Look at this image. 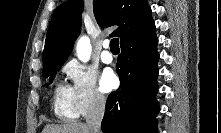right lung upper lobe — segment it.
<instances>
[{"label":"right lung upper lobe","mask_w":221,"mask_h":133,"mask_svg":"<svg viewBox=\"0 0 221 133\" xmlns=\"http://www.w3.org/2000/svg\"><path fill=\"white\" fill-rule=\"evenodd\" d=\"M82 0H69L54 12L43 51V67L63 63L81 30ZM95 18L101 27L118 25L112 36L126 40L155 32L147 0H93Z\"/></svg>","instance_id":"1"}]
</instances>
